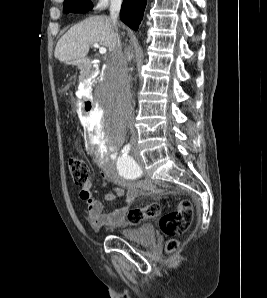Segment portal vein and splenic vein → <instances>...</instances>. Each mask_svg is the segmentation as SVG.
Instances as JSON below:
<instances>
[{
	"instance_id": "1",
	"label": "portal vein and splenic vein",
	"mask_w": 267,
	"mask_h": 298,
	"mask_svg": "<svg viewBox=\"0 0 267 298\" xmlns=\"http://www.w3.org/2000/svg\"><path fill=\"white\" fill-rule=\"evenodd\" d=\"M93 46L95 48H99L100 54H105L106 53V48L105 47H100V45L98 43H94Z\"/></svg>"
}]
</instances>
